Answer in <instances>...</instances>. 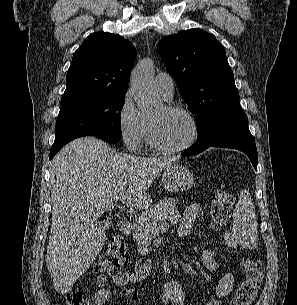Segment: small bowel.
I'll use <instances>...</instances> for the list:
<instances>
[{
    "mask_svg": "<svg viewBox=\"0 0 297 305\" xmlns=\"http://www.w3.org/2000/svg\"><path fill=\"white\" fill-rule=\"evenodd\" d=\"M204 214L203 209L198 204L189 205L184 212L183 219L178 227V235L187 237L192 233L195 221ZM225 242L234 248L241 247L240 237L234 231H227L224 235ZM186 252H198L202 256V260L206 268L215 269L218 266L217 252L215 250L205 248L201 245L184 248ZM152 265L149 259H141L135 270L131 273L119 271L111 275L113 283L118 286L107 287L106 278L98 277L97 285L99 289L93 297L92 305H104L110 299L116 296L126 297L129 305H137L138 293L131 287V283L139 282L145 279L151 272ZM235 286V276L233 274L223 275L216 283L213 295L204 305H222L224 300L230 296ZM162 305H186V295L182 284L177 280L168 281L161 296Z\"/></svg>",
    "mask_w": 297,
    "mask_h": 305,
    "instance_id": "small-bowel-1",
    "label": "small bowel"
}]
</instances>
